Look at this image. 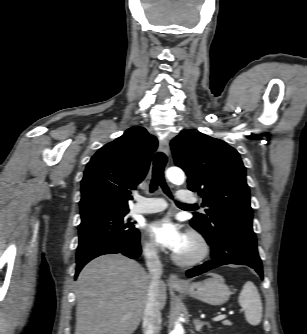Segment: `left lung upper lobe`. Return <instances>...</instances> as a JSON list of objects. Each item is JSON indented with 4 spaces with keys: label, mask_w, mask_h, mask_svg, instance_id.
I'll return each instance as SVG.
<instances>
[{
    "label": "left lung upper lobe",
    "mask_w": 307,
    "mask_h": 334,
    "mask_svg": "<svg viewBox=\"0 0 307 334\" xmlns=\"http://www.w3.org/2000/svg\"><path fill=\"white\" fill-rule=\"evenodd\" d=\"M170 145L175 164L188 176V188L199 192L206 207L207 215H195L192 227L208 234L224 220L252 223L246 169L234 148L194 131H182Z\"/></svg>",
    "instance_id": "left-lung-upper-lobe-1"
}]
</instances>
